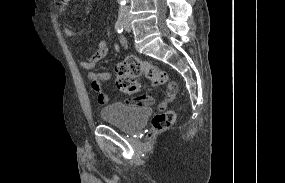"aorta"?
I'll list each match as a JSON object with an SVG mask.
<instances>
[{"mask_svg":"<svg viewBox=\"0 0 285 183\" xmlns=\"http://www.w3.org/2000/svg\"><path fill=\"white\" fill-rule=\"evenodd\" d=\"M119 4L122 6L125 4L126 0H118Z\"/></svg>","mask_w":285,"mask_h":183,"instance_id":"obj_1","label":"aorta"}]
</instances>
